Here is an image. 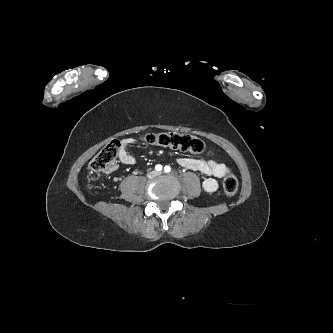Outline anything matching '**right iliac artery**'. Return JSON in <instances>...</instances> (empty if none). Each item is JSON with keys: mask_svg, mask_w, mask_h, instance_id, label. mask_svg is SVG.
I'll return each mask as SVG.
<instances>
[{"mask_svg": "<svg viewBox=\"0 0 333 333\" xmlns=\"http://www.w3.org/2000/svg\"><path fill=\"white\" fill-rule=\"evenodd\" d=\"M155 170L158 171V172H160V171L162 170V165L157 164V165L155 166Z\"/></svg>", "mask_w": 333, "mask_h": 333, "instance_id": "obj_1", "label": "right iliac artery"}]
</instances>
